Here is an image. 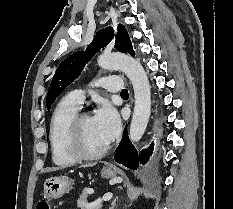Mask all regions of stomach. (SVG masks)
<instances>
[{"label":"stomach","instance_id":"1","mask_svg":"<svg viewBox=\"0 0 233 209\" xmlns=\"http://www.w3.org/2000/svg\"><path fill=\"white\" fill-rule=\"evenodd\" d=\"M103 178H114L116 172L110 168H103L101 170ZM73 180L67 176L50 177L47 178L43 185L44 195L49 199L61 198L64 194L69 192L72 188Z\"/></svg>","mask_w":233,"mask_h":209}]
</instances>
